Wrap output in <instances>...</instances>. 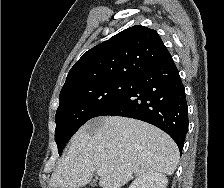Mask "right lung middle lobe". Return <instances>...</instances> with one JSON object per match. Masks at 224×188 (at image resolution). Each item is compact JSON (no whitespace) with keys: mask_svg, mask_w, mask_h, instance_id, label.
Wrapping results in <instances>:
<instances>
[{"mask_svg":"<svg viewBox=\"0 0 224 188\" xmlns=\"http://www.w3.org/2000/svg\"><path fill=\"white\" fill-rule=\"evenodd\" d=\"M131 79H111L81 84L60 92L56 112L55 142L59 155L74 133L91 118L101 116L127 93Z\"/></svg>","mask_w":224,"mask_h":188,"instance_id":"1","label":"right lung middle lobe"}]
</instances>
